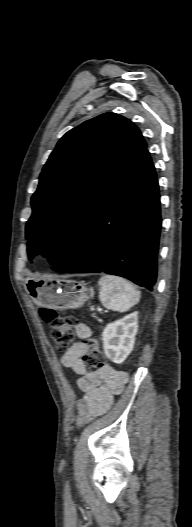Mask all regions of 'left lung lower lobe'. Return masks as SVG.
<instances>
[{
  "mask_svg": "<svg viewBox=\"0 0 192 527\" xmlns=\"http://www.w3.org/2000/svg\"><path fill=\"white\" fill-rule=\"evenodd\" d=\"M160 229L158 181L146 149L112 185L52 269L104 271L152 290Z\"/></svg>",
  "mask_w": 192,
  "mask_h": 527,
  "instance_id": "0a47b994",
  "label": "left lung lower lobe"
}]
</instances>
